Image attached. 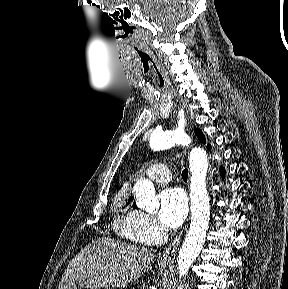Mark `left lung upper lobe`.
I'll use <instances>...</instances> for the list:
<instances>
[{"label": "left lung upper lobe", "instance_id": "left-lung-upper-lobe-1", "mask_svg": "<svg viewBox=\"0 0 288 289\" xmlns=\"http://www.w3.org/2000/svg\"><path fill=\"white\" fill-rule=\"evenodd\" d=\"M194 132H195V134L197 135V137H198V139L201 141V142H205V138H204V135H203V133H202V131L200 130V129H194ZM208 147H209V145H208Z\"/></svg>", "mask_w": 288, "mask_h": 289}]
</instances>
